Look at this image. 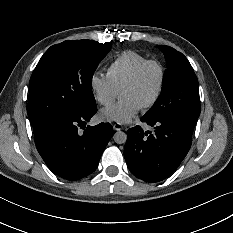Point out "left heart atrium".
Instances as JSON below:
<instances>
[{
    "label": "left heart atrium",
    "mask_w": 233,
    "mask_h": 233,
    "mask_svg": "<svg viewBox=\"0 0 233 233\" xmlns=\"http://www.w3.org/2000/svg\"><path fill=\"white\" fill-rule=\"evenodd\" d=\"M142 104L132 97H126L117 103L102 109L99 118L103 121L127 123L142 109Z\"/></svg>",
    "instance_id": "1"
}]
</instances>
